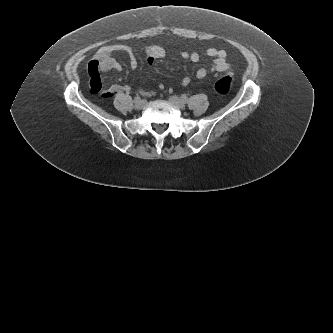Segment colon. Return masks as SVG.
I'll return each mask as SVG.
<instances>
[{
    "instance_id": "colon-1",
    "label": "colon",
    "mask_w": 333,
    "mask_h": 333,
    "mask_svg": "<svg viewBox=\"0 0 333 333\" xmlns=\"http://www.w3.org/2000/svg\"><path fill=\"white\" fill-rule=\"evenodd\" d=\"M233 78L230 74H226L216 81L214 84L215 91L220 95H226L232 88Z\"/></svg>"
}]
</instances>
